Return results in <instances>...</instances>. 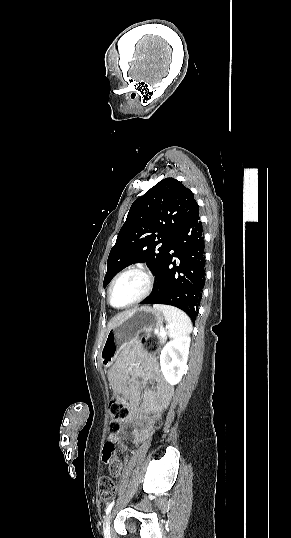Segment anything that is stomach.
Masks as SVG:
<instances>
[{
	"mask_svg": "<svg viewBox=\"0 0 291 538\" xmlns=\"http://www.w3.org/2000/svg\"><path fill=\"white\" fill-rule=\"evenodd\" d=\"M164 314L150 307H140L118 322L106 335L100 352L102 365L119 363L121 349L132 344L140 332H151L163 326Z\"/></svg>",
	"mask_w": 291,
	"mask_h": 538,
	"instance_id": "obj_1",
	"label": "stomach"
}]
</instances>
